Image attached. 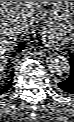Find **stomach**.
<instances>
[{"label":"stomach","mask_w":74,"mask_h":122,"mask_svg":"<svg viewBox=\"0 0 74 122\" xmlns=\"http://www.w3.org/2000/svg\"><path fill=\"white\" fill-rule=\"evenodd\" d=\"M74 16V1H55L51 19L55 22H67Z\"/></svg>","instance_id":"1"}]
</instances>
